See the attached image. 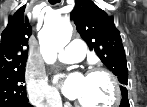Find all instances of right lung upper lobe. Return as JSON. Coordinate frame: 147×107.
<instances>
[{
    "instance_id": "1",
    "label": "right lung upper lobe",
    "mask_w": 147,
    "mask_h": 107,
    "mask_svg": "<svg viewBox=\"0 0 147 107\" xmlns=\"http://www.w3.org/2000/svg\"><path fill=\"white\" fill-rule=\"evenodd\" d=\"M25 6L9 18L1 35L0 74L24 68L28 58V41L32 34L29 21L24 17Z\"/></svg>"
}]
</instances>
